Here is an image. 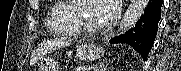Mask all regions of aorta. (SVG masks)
I'll return each mask as SVG.
<instances>
[{"label": "aorta", "mask_w": 181, "mask_h": 71, "mask_svg": "<svg viewBox=\"0 0 181 71\" xmlns=\"http://www.w3.org/2000/svg\"><path fill=\"white\" fill-rule=\"evenodd\" d=\"M148 0H131L120 22L118 33L123 34L133 28L140 18L144 15Z\"/></svg>", "instance_id": "aorta-1"}]
</instances>
